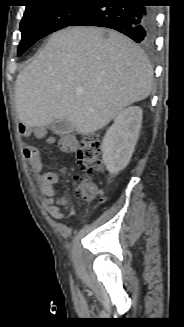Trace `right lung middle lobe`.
<instances>
[{"instance_id":"dd1d6c3e","label":"right lung middle lobe","mask_w":184,"mask_h":327,"mask_svg":"<svg viewBox=\"0 0 184 327\" xmlns=\"http://www.w3.org/2000/svg\"><path fill=\"white\" fill-rule=\"evenodd\" d=\"M72 1L48 0L26 8L20 23L22 39L18 47V56L40 38L70 26L92 7V4Z\"/></svg>"}]
</instances>
